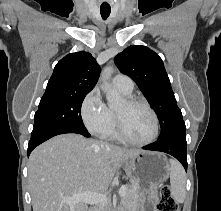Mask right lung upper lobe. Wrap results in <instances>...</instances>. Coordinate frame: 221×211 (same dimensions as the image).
Here are the masks:
<instances>
[{
	"mask_svg": "<svg viewBox=\"0 0 221 211\" xmlns=\"http://www.w3.org/2000/svg\"><path fill=\"white\" fill-rule=\"evenodd\" d=\"M100 71L90 53L81 51L68 54L55 66L45 94L89 93L96 85Z\"/></svg>",
	"mask_w": 221,
	"mask_h": 211,
	"instance_id": "1",
	"label": "right lung upper lobe"
}]
</instances>
